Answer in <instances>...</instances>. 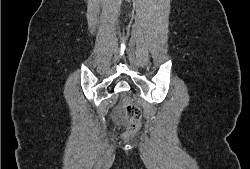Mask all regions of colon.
Here are the masks:
<instances>
[{
  "instance_id": "obj_1",
  "label": "colon",
  "mask_w": 250,
  "mask_h": 169,
  "mask_svg": "<svg viewBox=\"0 0 250 169\" xmlns=\"http://www.w3.org/2000/svg\"><path fill=\"white\" fill-rule=\"evenodd\" d=\"M119 101L122 102L121 111L125 115V120H130L125 130H122L121 139H131V135H135V131H140L143 127V115L139 108H136L138 99H132V96H125V92H120Z\"/></svg>"
}]
</instances>
